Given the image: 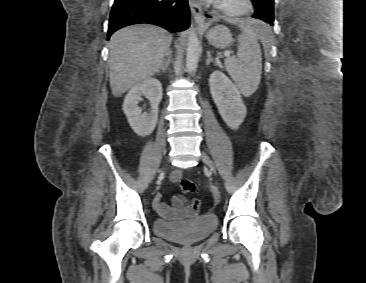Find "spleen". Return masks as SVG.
<instances>
[{
    "label": "spleen",
    "mask_w": 366,
    "mask_h": 283,
    "mask_svg": "<svg viewBox=\"0 0 366 283\" xmlns=\"http://www.w3.org/2000/svg\"><path fill=\"white\" fill-rule=\"evenodd\" d=\"M240 23L243 33L238 37L237 58H226L225 69L240 92L248 97L258 89L261 80L262 54L258 39L264 41V37L256 20L243 19Z\"/></svg>",
    "instance_id": "obj_1"
}]
</instances>
